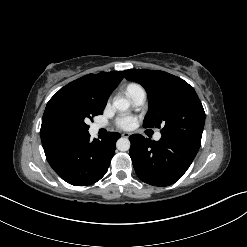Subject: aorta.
<instances>
[{
  "label": "aorta",
  "instance_id": "obj_1",
  "mask_svg": "<svg viewBox=\"0 0 247 247\" xmlns=\"http://www.w3.org/2000/svg\"><path fill=\"white\" fill-rule=\"evenodd\" d=\"M113 107L119 111H125L130 107V102L125 98H115ZM130 141L126 137H121L116 142V147L119 151H128L130 149Z\"/></svg>",
  "mask_w": 247,
  "mask_h": 247
}]
</instances>
